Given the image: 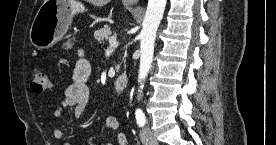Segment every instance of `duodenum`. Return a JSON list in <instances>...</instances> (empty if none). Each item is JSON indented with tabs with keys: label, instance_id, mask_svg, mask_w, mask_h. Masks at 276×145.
I'll return each instance as SVG.
<instances>
[{
	"label": "duodenum",
	"instance_id": "1",
	"mask_svg": "<svg viewBox=\"0 0 276 145\" xmlns=\"http://www.w3.org/2000/svg\"><path fill=\"white\" fill-rule=\"evenodd\" d=\"M128 77L126 74H120L114 83V91L116 94H122L128 87Z\"/></svg>",
	"mask_w": 276,
	"mask_h": 145
}]
</instances>
